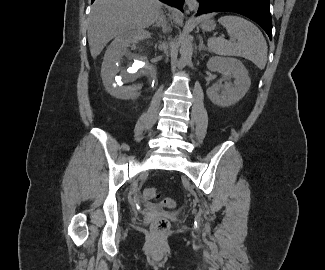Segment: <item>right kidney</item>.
Listing matches in <instances>:
<instances>
[{
	"label": "right kidney",
	"mask_w": 325,
	"mask_h": 270,
	"mask_svg": "<svg viewBox=\"0 0 325 270\" xmlns=\"http://www.w3.org/2000/svg\"><path fill=\"white\" fill-rule=\"evenodd\" d=\"M150 37L151 34L145 30L131 31L117 37L108 47L101 76L112 96L125 100L137 97L146 80L155 73V66L149 62L146 42ZM123 63L127 66L123 67Z\"/></svg>",
	"instance_id": "obj_1"
}]
</instances>
